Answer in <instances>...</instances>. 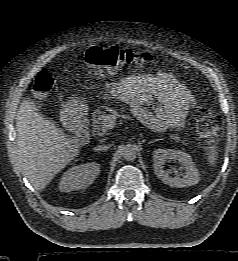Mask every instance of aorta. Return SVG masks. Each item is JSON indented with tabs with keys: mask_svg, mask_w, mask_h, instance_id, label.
<instances>
[{
	"mask_svg": "<svg viewBox=\"0 0 238 261\" xmlns=\"http://www.w3.org/2000/svg\"><path fill=\"white\" fill-rule=\"evenodd\" d=\"M137 155V148L135 145L127 144L122 148V156L126 161L135 160Z\"/></svg>",
	"mask_w": 238,
	"mask_h": 261,
	"instance_id": "aorta-1",
	"label": "aorta"
}]
</instances>
